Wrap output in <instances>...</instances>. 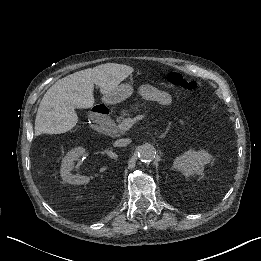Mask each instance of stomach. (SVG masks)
I'll return each mask as SVG.
<instances>
[{"label":"stomach","mask_w":261,"mask_h":261,"mask_svg":"<svg viewBox=\"0 0 261 261\" xmlns=\"http://www.w3.org/2000/svg\"><path fill=\"white\" fill-rule=\"evenodd\" d=\"M133 94V87L130 84H120L107 94H105L102 100L106 104H117L125 99L129 98Z\"/></svg>","instance_id":"1"}]
</instances>
